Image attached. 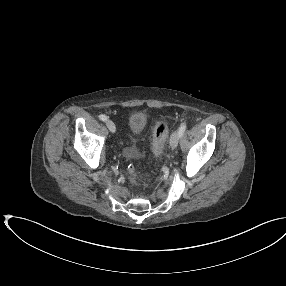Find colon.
I'll return each mask as SVG.
<instances>
[{
	"label": "colon",
	"mask_w": 286,
	"mask_h": 286,
	"mask_svg": "<svg viewBox=\"0 0 286 286\" xmlns=\"http://www.w3.org/2000/svg\"><path fill=\"white\" fill-rule=\"evenodd\" d=\"M167 134H168L167 121L158 122L154 128L153 143H152V149L155 158H160L162 156ZM125 155L128 158H133L136 155V150L134 148H128L125 150ZM127 172L131 178H135L136 170L132 164H129L127 166Z\"/></svg>",
	"instance_id": "obj_1"
}]
</instances>
